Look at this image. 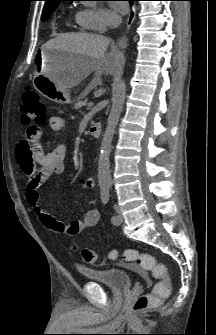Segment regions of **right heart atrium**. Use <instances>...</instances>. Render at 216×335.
Wrapping results in <instances>:
<instances>
[{"mask_svg": "<svg viewBox=\"0 0 216 335\" xmlns=\"http://www.w3.org/2000/svg\"><path fill=\"white\" fill-rule=\"evenodd\" d=\"M78 13L85 27L97 32H104L111 23L116 21V16L102 7L85 8Z\"/></svg>", "mask_w": 216, "mask_h": 335, "instance_id": "d8ad5b80", "label": "right heart atrium"}]
</instances>
